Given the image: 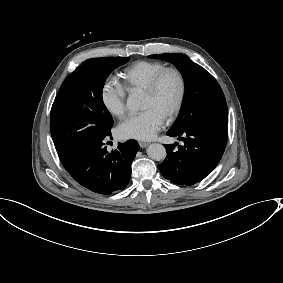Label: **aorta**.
I'll return each mask as SVG.
<instances>
[{"instance_id":"1","label":"aorta","mask_w":283,"mask_h":283,"mask_svg":"<svg viewBox=\"0 0 283 283\" xmlns=\"http://www.w3.org/2000/svg\"><path fill=\"white\" fill-rule=\"evenodd\" d=\"M127 106L131 110L140 109V98L136 94H131L127 100ZM147 155L156 161L164 160L166 157V149L162 144L153 143L147 148Z\"/></svg>"}]
</instances>
